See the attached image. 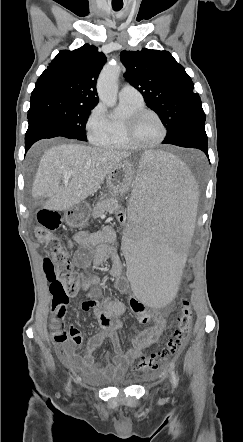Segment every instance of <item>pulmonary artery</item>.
<instances>
[{
    "mask_svg": "<svg viewBox=\"0 0 243 442\" xmlns=\"http://www.w3.org/2000/svg\"><path fill=\"white\" fill-rule=\"evenodd\" d=\"M120 100L129 102H143L142 94L133 86L126 84L119 93Z\"/></svg>",
    "mask_w": 243,
    "mask_h": 442,
    "instance_id": "obj_1",
    "label": "pulmonary artery"
}]
</instances>
